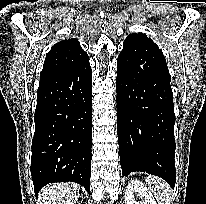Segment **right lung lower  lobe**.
Wrapping results in <instances>:
<instances>
[{"label": "right lung lower lobe", "instance_id": "1", "mask_svg": "<svg viewBox=\"0 0 206 204\" xmlns=\"http://www.w3.org/2000/svg\"><path fill=\"white\" fill-rule=\"evenodd\" d=\"M92 71L89 59L40 79L32 141L35 193L54 182L72 181L90 193Z\"/></svg>", "mask_w": 206, "mask_h": 204}]
</instances>
